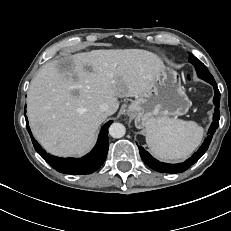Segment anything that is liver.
Returning a JSON list of instances; mask_svg holds the SVG:
<instances>
[{
    "label": "liver",
    "instance_id": "liver-1",
    "mask_svg": "<svg viewBox=\"0 0 231 231\" xmlns=\"http://www.w3.org/2000/svg\"><path fill=\"white\" fill-rule=\"evenodd\" d=\"M163 69L159 56L142 49L93 50L48 62L27 94L33 134L53 155L81 156L107 118L100 105L114 114L117 98L140 97Z\"/></svg>",
    "mask_w": 231,
    "mask_h": 231
}]
</instances>
